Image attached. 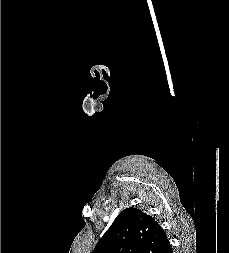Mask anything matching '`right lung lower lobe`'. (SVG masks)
I'll list each match as a JSON object with an SVG mask.
<instances>
[{
    "label": "right lung lower lobe",
    "mask_w": 229,
    "mask_h": 253,
    "mask_svg": "<svg viewBox=\"0 0 229 253\" xmlns=\"http://www.w3.org/2000/svg\"><path fill=\"white\" fill-rule=\"evenodd\" d=\"M163 253H173V249L171 247V245H169L164 251Z\"/></svg>",
    "instance_id": "obj_1"
}]
</instances>
